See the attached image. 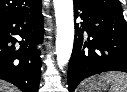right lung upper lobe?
Masks as SVG:
<instances>
[{
	"mask_svg": "<svg viewBox=\"0 0 127 92\" xmlns=\"http://www.w3.org/2000/svg\"><path fill=\"white\" fill-rule=\"evenodd\" d=\"M40 2L41 0H0V19L30 11Z\"/></svg>",
	"mask_w": 127,
	"mask_h": 92,
	"instance_id": "cb5924a9",
	"label": "right lung upper lobe"
}]
</instances>
